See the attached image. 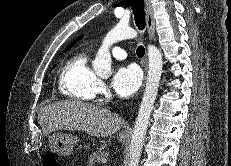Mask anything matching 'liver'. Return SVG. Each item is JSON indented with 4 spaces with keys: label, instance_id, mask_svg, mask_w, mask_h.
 I'll return each mask as SVG.
<instances>
[{
    "label": "liver",
    "instance_id": "1",
    "mask_svg": "<svg viewBox=\"0 0 231 166\" xmlns=\"http://www.w3.org/2000/svg\"><path fill=\"white\" fill-rule=\"evenodd\" d=\"M38 122L44 136L56 130H78L95 137H108L125 123L120 116L107 109L76 100L42 107Z\"/></svg>",
    "mask_w": 231,
    "mask_h": 166
}]
</instances>
